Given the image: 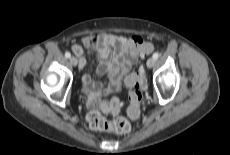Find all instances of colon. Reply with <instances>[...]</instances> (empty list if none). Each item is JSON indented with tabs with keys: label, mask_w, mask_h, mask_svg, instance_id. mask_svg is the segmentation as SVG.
Wrapping results in <instances>:
<instances>
[{
	"label": "colon",
	"mask_w": 230,
	"mask_h": 155,
	"mask_svg": "<svg viewBox=\"0 0 230 155\" xmlns=\"http://www.w3.org/2000/svg\"><path fill=\"white\" fill-rule=\"evenodd\" d=\"M132 49L139 55H144L150 53L153 46L151 43L145 42L141 38L137 37L133 40ZM127 81L131 88L129 92L127 114L131 119H137L140 116L143 104L142 89L144 87V79L140 73H133L128 75ZM119 106L120 103L118 99L112 98L109 101V108L112 111L118 110ZM87 121L92 129L98 131H111L119 134H125L131 130V124L125 118L117 116L113 120L109 121L97 111L90 112L88 114Z\"/></svg>",
	"instance_id": "colon-1"
}]
</instances>
